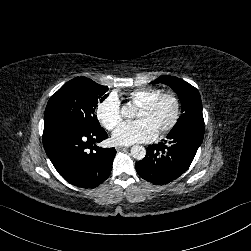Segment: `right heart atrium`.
<instances>
[{
	"instance_id": "d8ad5b80",
	"label": "right heart atrium",
	"mask_w": 251,
	"mask_h": 251,
	"mask_svg": "<svg viewBox=\"0 0 251 251\" xmlns=\"http://www.w3.org/2000/svg\"><path fill=\"white\" fill-rule=\"evenodd\" d=\"M96 116L108 130H113L122 120L120 98L116 93H110L96 106Z\"/></svg>"
}]
</instances>
